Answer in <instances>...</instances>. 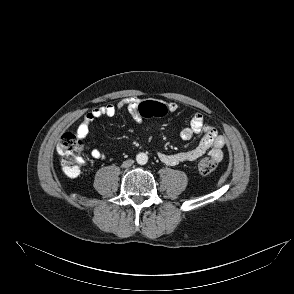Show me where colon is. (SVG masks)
<instances>
[{"label":"colon","mask_w":294,"mask_h":294,"mask_svg":"<svg viewBox=\"0 0 294 294\" xmlns=\"http://www.w3.org/2000/svg\"><path fill=\"white\" fill-rule=\"evenodd\" d=\"M130 111L132 115L145 118L162 117L167 113L166 107L162 103L153 100L143 101ZM82 149L83 142L77 134L68 132L62 135L57 145V152L62 159V169L66 176L73 178L79 174ZM197 167L201 175L207 176L215 171L217 161L213 157L207 156L199 160Z\"/></svg>","instance_id":"5ec220e1"}]
</instances>
